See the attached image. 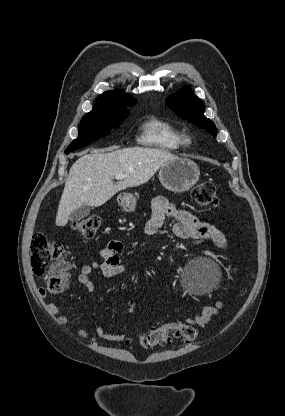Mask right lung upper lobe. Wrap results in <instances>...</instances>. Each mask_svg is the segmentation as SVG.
<instances>
[{
	"label": "right lung upper lobe",
	"instance_id": "1",
	"mask_svg": "<svg viewBox=\"0 0 285 416\" xmlns=\"http://www.w3.org/2000/svg\"><path fill=\"white\" fill-rule=\"evenodd\" d=\"M136 102L137 101L130 94L123 91H106L97 97L93 109L118 110L134 105Z\"/></svg>",
	"mask_w": 285,
	"mask_h": 416
}]
</instances>
